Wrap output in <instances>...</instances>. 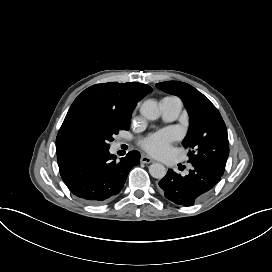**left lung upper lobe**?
I'll use <instances>...</instances> for the list:
<instances>
[{
  "label": "left lung upper lobe",
  "mask_w": 272,
  "mask_h": 272,
  "mask_svg": "<svg viewBox=\"0 0 272 272\" xmlns=\"http://www.w3.org/2000/svg\"><path fill=\"white\" fill-rule=\"evenodd\" d=\"M160 90L180 97L190 116L189 132L182 144L190 148L189 160L222 174L229 155L226 125L216 107L187 83L167 81L156 84Z\"/></svg>",
  "instance_id": "obj_1"
}]
</instances>
